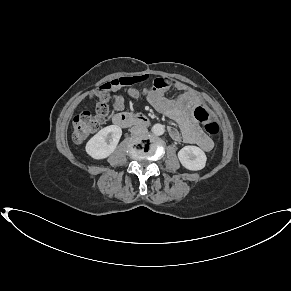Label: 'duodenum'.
Returning <instances> with one entry per match:
<instances>
[{"instance_id":"410a0bca","label":"duodenum","mask_w":291,"mask_h":291,"mask_svg":"<svg viewBox=\"0 0 291 291\" xmlns=\"http://www.w3.org/2000/svg\"><path fill=\"white\" fill-rule=\"evenodd\" d=\"M112 121L121 128L149 125V119L143 114L117 113L113 116Z\"/></svg>"}]
</instances>
